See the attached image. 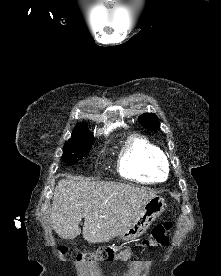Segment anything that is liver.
Listing matches in <instances>:
<instances>
[{
    "instance_id": "1",
    "label": "liver",
    "mask_w": 221,
    "mask_h": 276,
    "mask_svg": "<svg viewBox=\"0 0 221 276\" xmlns=\"http://www.w3.org/2000/svg\"><path fill=\"white\" fill-rule=\"evenodd\" d=\"M152 191L123 183L62 179L53 193L51 224L63 239L80 235L89 243L108 242L126 231Z\"/></svg>"
}]
</instances>
